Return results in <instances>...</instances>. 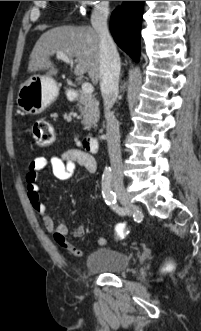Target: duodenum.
<instances>
[{
  "mask_svg": "<svg viewBox=\"0 0 201 331\" xmlns=\"http://www.w3.org/2000/svg\"><path fill=\"white\" fill-rule=\"evenodd\" d=\"M67 94L70 97H73V92L71 90H68ZM82 145L87 151L92 152V153L97 152L98 147H99L98 140L95 137H92V136H87V137L83 138L82 139Z\"/></svg>",
  "mask_w": 201,
  "mask_h": 331,
  "instance_id": "410a0bca",
  "label": "duodenum"
}]
</instances>
